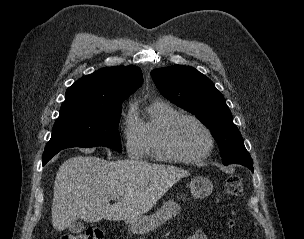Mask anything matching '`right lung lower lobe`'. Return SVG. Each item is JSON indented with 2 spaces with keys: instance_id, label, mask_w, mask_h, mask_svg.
Returning <instances> with one entry per match:
<instances>
[{
  "instance_id": "1",
  "label": "right lung lower lobe",
  "mask_w": 304,
  "mask_h": 239,
  "mask_svg": "<svg viewBox=\"0 0 304 239\" xmlns=\"http://www.w3.org/2000/svg\"><path fill=\"white\" fill-rule=\"evenodd\" d=\"M60 150L48 151L43 153V165H45L54 155H56Z\"/></svg>"
}]
</instances>
